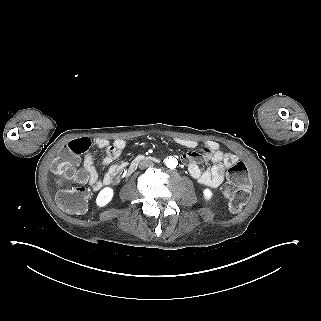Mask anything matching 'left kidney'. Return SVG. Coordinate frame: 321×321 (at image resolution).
<instances>
[{
  "mask_svg": "<svg viewBox=\"0 0 321 321\" xmlns=\"http://www.w3.org/2000/svg\"><path fill=\"white\" fill-rule=\"evenodd\" d=\"M203 194H204V199L207 201L212 198V192L210 189H204Z\"/></svg>",
  "mask_w": 321,
  "mask_h": 321,
  "instance_id": "left-kidney-1",
  "label": "left kidney"
}]
</instances>
